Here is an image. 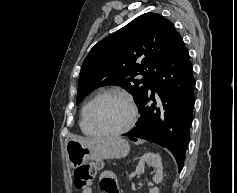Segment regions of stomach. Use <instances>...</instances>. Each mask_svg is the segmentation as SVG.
Returning <instances> with one entry per match:
<instances>
[{
    "instance_id": "0dacf381",
    "label": "stomach",
    "mask_w": 237,
    "mask_h": 193,
    "mask_svg": "<svg viewBox=\"0 0 237 193\" xmlns=\"http://www.w3.org/2000/svg\"><path fill=\"white\" fill-rule=\"evenodd\" d=\"M129 151V143L121 137L108 138L88 144L71 139L66 144L67 159L73 168H78L87 160L124 158Z\"/></svg>"
}]
</instances>
